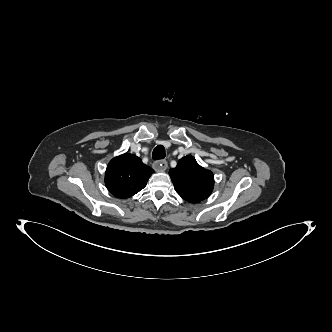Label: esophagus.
<instances>
[{"label": "esophagus", "mask_w": 332, "mask_h": 332, "mask_svg": "<svg viewBox=\"0 0 332 332\" xmlns=\"http://www.w3.org/2000/svg\"><path fill=\"white\" fill-rule=\"evenodd\" d=\"M153 167L156 171L163 172L167 169L168 163L165 160H158L154 162Z\"/></svg>", "instance_id": "obj_1"}]
</instances>
